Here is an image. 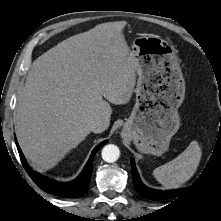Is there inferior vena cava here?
<instances>
[{"label": "inferior vena cava", "mask_w": 221, "mask_h": 221, "mask_svg": "<svg viewBox=\"0 0 221 221\" xmlns=\"http://www.w3.org/2000/svg\"><path fill=\"white\" fill-rule=\"evenodd\" d=\"M108 128V123L103 119H96L91 122L90 130L94 133H101Z\"/></svg>", "instance_id": "602c4592"}]
</instances>
